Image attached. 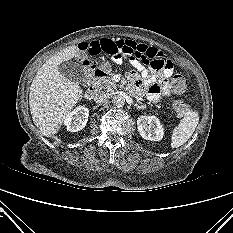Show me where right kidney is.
Masks as SVG:
<instances>
[{
    "mask_svg": "<svg viewBox=\"0 0 233 233\" xmlns=\"http://www.w3.org/2000/svg\"><path fill=\"white\" fill-rule=\"evenodd\" d=\"M89 110L84 106H79L70 112L65 120L64 124L70 132H77L82 130L88 121Z\"/></svg>",
    "mask_w": 233,
    "mask_h": 233,
    "instance_id": "ca27d5eb",
    "label": "right kidney"
}]
</instances>
